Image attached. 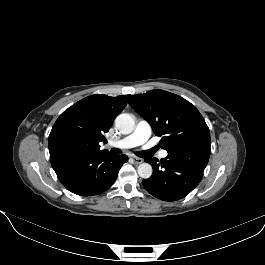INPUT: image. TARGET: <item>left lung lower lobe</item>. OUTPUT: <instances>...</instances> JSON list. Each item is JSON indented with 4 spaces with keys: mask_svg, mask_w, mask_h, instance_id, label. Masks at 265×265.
<instances>
[{
    "mask_svg": "<svg viewBox=\"0 0 265 265\" xmlns=\"http://www.w3.org/2000/svg\"><path fill=\"white\" fill-rule=\"evenodd\" d=\"M211 142H202L168 152L157 163L155 158L146 162L153 167V175L142 181L144 188L154 197L175 201L188 195L201 181L210 157Z\"/></svg>",
    "mask_w": 265,
    "mask_h": 265,
    "instance_id": "0a47b994",
    "label": "left lung lower lobe"
}]
</instances>
